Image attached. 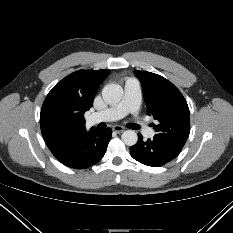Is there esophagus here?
Listing matches in <instances>:
<instances>
[{
	"label": "esophagus",
	"instance_id": "esophagus-1",
	"mask_svg": "<svg viewBox=\"0 0 233 233\" xmlns=\"http://www.w3.org/2000/svg\"><path fill=\"white\" fill-rule=\"evenodd\" d=\"M112 130H113L114 132H116V133H122V132L125 130V128L122 127V126L115 125V126L112 128Z\"/></svg>",
	"mask_w": 233,
	"mask_h": 233
}]
</instances>
